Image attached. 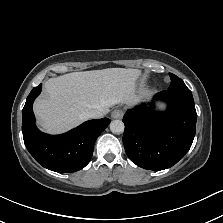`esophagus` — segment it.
<instances>
[{
	"label": "esophagus",
	"instance_id": "34e87169",
	"mask_svg": "<svg viewBox=\"0 0 223 223\" xmlns=\"http://www.w3.org/2000/svg\"><path fill=\"white\" fill-rule=\"evenodd\" d=\"M124 115V111L122 109H114L111 112V117L114 119H121Z\"/></svg>",
	"mask_w": 223,
	"mask_h": 223
}]
</instances>
